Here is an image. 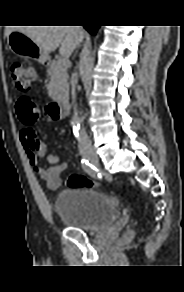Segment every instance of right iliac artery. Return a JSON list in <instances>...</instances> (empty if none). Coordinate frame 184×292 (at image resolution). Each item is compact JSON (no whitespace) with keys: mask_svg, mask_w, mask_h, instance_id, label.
<instances>
[{"mask_svg":"<svg viewBox=\"0 0 184 292\" xmlns=\"http://www.w3.org/2000/svg\"><path fill=\"white\" fill-rule=\"evenodd\" d=\"M81 165H82V168L84 169V171L86 173H88L90 176H92L93 178H96L98 179V181H101V182H105L100 173L98 172L97 168L95 166H93L91 163L88 162V160L82 158L81 159Z\"/></svg>","mask_w":184,"mask_h":292,"instance_id":"right-iliac-artery-1","label":"right iliac artery"}]
</instances>
